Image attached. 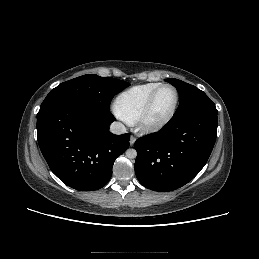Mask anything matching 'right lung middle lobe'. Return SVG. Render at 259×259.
Listing matches in <instances>:
<instances>
[{
  "mask_svg": "<svg viewBox=\"0 0 259 259\" xmlns=\"http://www.w3.org/2000/svg\"><path fill=\"white\" fill-rule=\"evenodd\" d=\"M130 84L111 77L87 74L61 83L46 96L40 110L59 101L79 100L109 109L112 98Z\"/></svg>",
  "mask_w": 259,
  "mask_h": 259,
  "instance_id": "right-lung-middle-lobe-1",
  "label": "right lung middle lobe"
}]
</instances>
